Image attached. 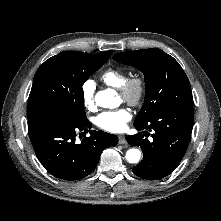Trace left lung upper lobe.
I'll return each instance as SVG.
<instances>
[{
  "label": "left lung upper lobe",
  "instance_id": "obj_1",
  "mask_svg": "<svg viewBox=\"0 0 221 221\" xmlns=\"http://www.w3.org/2000/svg\"><path fill=\"white\" fill-rule=\"evenodd\" d=\"M114 60L129 64L144 73V104L134 125H143L162 110L193 108L189 80L179 63L157 48L115 54Z\"/></svg>",
  "mask_w": 221,
  "mask_h": 221
}]
</instances>
